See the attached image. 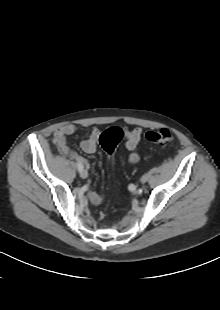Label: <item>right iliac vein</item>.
<instances>
[{"instance_id":"right-iliac-vein-1","label":"right iliac vein","mask_w":220,"mask_h":310,"mask_svg":"<svg viewBox=\"0 0 220 310\" xmlns=\"http://www.w3.org/2000/svg\"><path fill=\"white\" fill-rule=\"evenodd\" d=\"M80 176H81V178L85 179V178L88 177V172H87L86 170H82V171L80 172Z\"/></svg>"}]
</instances>
